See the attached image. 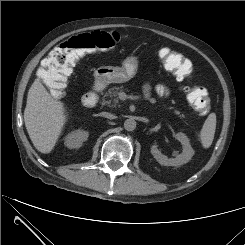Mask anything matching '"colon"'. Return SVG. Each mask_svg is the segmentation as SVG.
Here are the masks:
<instances>
[{"label": "colon", "instance_id": "1", "mask_svg": "<svg viewBox=\"0 0 245 245\" xmlns=\"http://www.w3.org/2000/svg\"><path fill=\"white\" fill-rule=\"evenodd\" d=\"M121 37L117 32L94 31L69 38L55 47L44 60L40 69L41 79L47 83L55 95L63 94L73 66L87 53L106 51L115 48ZM166 67L178 79L186 78L190 72L186 59L176 52H168L162 56ZM187 99L194 110L202 116L211 111L208 91L203 86H194L187 90Z\"/></svg>", "mask_w": 245, "mask_h": 245}]
</instances>
